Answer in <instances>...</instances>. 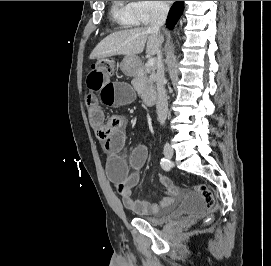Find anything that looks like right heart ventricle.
Here are the masks:
<instances>
[{
  "label": "right heart ventricle",
  "mask_w": 271,
  "mask_h": 266,
  "mask_svg": "<svg viewBox=\"0 0 271 266\" xmlns=\"http://www.w3.org/2000/svg\"><path fill=\"white\" fill-rule=\"evenodd\" d=\"M111 13L114 20L120 26L130 27L137 24L130 3H127L126 1H113Z\"/></svg>",
  "instance_id": "e07e8e85"
}]
</instances>
